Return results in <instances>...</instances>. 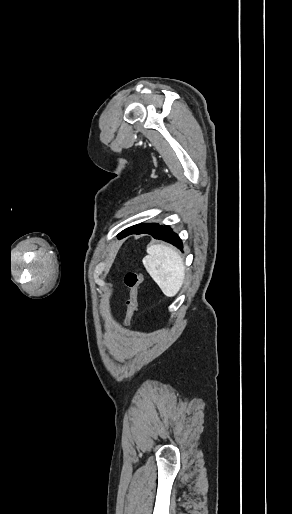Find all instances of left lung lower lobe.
<instances>
[{
  "label": "left lung lower lobe",
  "instance_id": "0a47b994",
  "mask_svg": "<svg viewBox=\"0 0 292 514\" xmlns=\"http://www.w3.org/2000/svg\"><path fill=\"white\" fill-rule=\"evenodd\" d=\"M134 234H149L153 236L155 239L163 240L168 243L173 244L174 246L178 247L179 249L183 248V243L178 234L173 232V230L170 228V226L167 225H159L156 223H153L148 229L134 233Z\"/></svg>",
  "mask_w": 292,
  "mask_h": 514
}]
</instances>
